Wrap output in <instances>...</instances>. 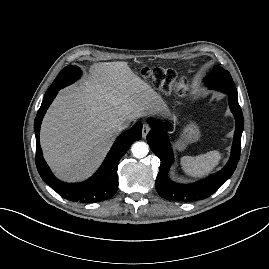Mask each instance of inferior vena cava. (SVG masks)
Here are the masks:
<instances>
[{
	"mask_svg": "<svg viewBox=\"0 0 269 269\" xmlns=\"http://www.w3.org/2000/svg\"><path fill=\"white\" fill-rule=\"evenodd\" d=\"M129 125H130V121L120 122V123L117 125V130H118V131H122V130L128 128Z\"/></svg>",
	"mask_w": 269,
	"mask_h": 269,
	"instance_id": "inferior-vena-cava-1",
	"label": "inferior vena cava"
}]
</instances>
